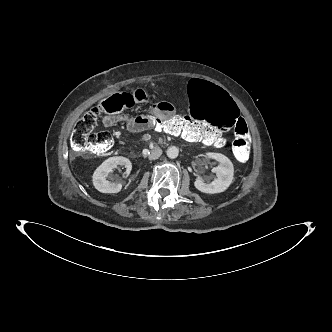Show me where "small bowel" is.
I'll use <instances>...</instances> for the list:
<instances>
[{
	"label": "small bowel",
	"mask_w": 332,
	"mask_h": 332,
	"mask_svg": "<svg viewBox=\"0 0 332 332\" xmlns=\"http://www.w3.org/2000/svg\"><path fill=\"white\" fill-rule=\"evenodd\" d=\"M131 99L135 103L145 104L148 102L149 97L145 89L135 88L131 92ZM154 115H160L164 120H172L176 116L175 107L172 103L167 101H160L154 103L151 109ZM154 116V118H155ZM98 122L106 128H123L126 127L128 131L133 133H140L152 129V124H144L141 122L140 115L131 112H115L109 114H101L98 117ZM189 140L190 137L188 136Z\"/></svg>",
	"instance_id": "small-bowel-1"
}]
</instances>
